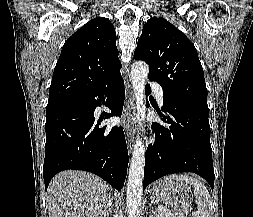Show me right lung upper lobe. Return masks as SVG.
Wrapping results in <instances>:
<instances>
[{
	"label": "right lung upper lobe",
	"mask_w": 253,
	"mask_h": 217,
	"mask_svg": "<svg viewBox=\"0 0 253 217\" xmlns=\"http://www.w3.org/2000/svg\"><path fill=\"white\" fill-rule=\"evenodd\" d=\"M120 67L113 24L102 17L89 21L62 48L48 104L90 92L120 73Z\"/></svg>",
	"instance_id": "obj_1"
}]
</instances>
